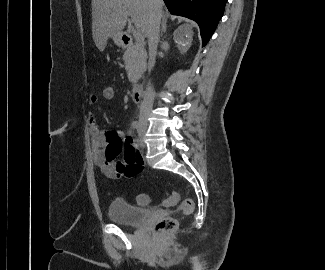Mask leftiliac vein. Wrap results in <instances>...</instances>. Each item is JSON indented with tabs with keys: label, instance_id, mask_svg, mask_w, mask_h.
<instances>
[{
	"label": "left iliac vein",
	"instance_id": "4c4485c4",
	"mask_svg": "<svg viewBox=\"0 0 325 270\" xmlns=\"http://www.w3.org/2000/svg\"><path fill=\"white\" fill-rule=\"evenodd\" d=\"M138 134H139L138 145L141 148H143L144 147L143 138H144V134H145V127H140L139 130H138Z\"/></svg>",
	"mask_w": 325,
	"mask_h": 270
}]
</instances>
